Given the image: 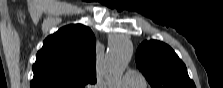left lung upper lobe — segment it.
I'll list each match as a JSON object with an SVG mask.
<instances>
[{"instance_id": "5c2ea615", "label": "left lung upper lobe", "mask_w": 223, "mask_h": 88, "mask_svg": "<svg viewBox=\"0 0 223 88\" xmlns=\"http://www.w3.org/2000/svg\"><path fill=\"white\" fill-rule=\"evenodd\" d=\"M135 60L152 88H196L185 64L167 44L145 41L137 48Z\"/></svg>"}]
</instances>
